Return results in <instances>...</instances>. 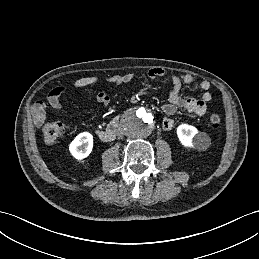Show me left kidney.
Returning a JSON list of instances; mask_svg holds the SVG:
<instances>
[{"label":"left kidney","instance_id":"left-kidney-1","mask_svg":"<svg viewBox=\"0 0 259 259\" xmlns=\"http://www.w3.org/2000/svg\"><path fill=\"white\" fill-rule=\"evenodd\" d=\"M177 136L181 144L185 147H195L199 144L201 134L197 128L188 124H181L177 128Z\"/></svg>","mask_w":259,"mask_h":259}]
</instances>
